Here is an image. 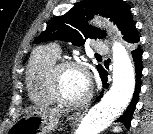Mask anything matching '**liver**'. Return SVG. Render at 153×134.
I'll list each match as a JSON object with an SVG mask.
<instances>
[{
	"label": "liver",
	"instance_id": "1",
	"mask_svg": "<svg viewBox=\"0 0 153 134\" xmlns=\"http://www.w3.org/2000/svg\"><path fill=\"white\" fill-rule=\"evenodd\" d=\"M34 112H40L42 115L49 116L50 118L60 117L61 115L65 114L66 112L64 110H61L59 108H30L25 110V113H34Z\"/></svg>",
	"mask_w": 153,
	"mask_h": 134
}]
</instances>
